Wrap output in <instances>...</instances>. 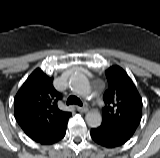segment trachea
<instances>
[{"label": "trachea", "mask_w": 160, "mask_h": 158, "mask_svg": "<svg viewBox=\"0 0 160 158\" xmlns=\"http://www.w3.org/2000/svg\"><path fill=\"white\" fill-rule=\"evenodd\" d=\"M70 104H76V105H79L81 106L82 105V102L79 98H77L76 96H69V98L67 99V105H70Z\"/></svg>", "instance_id": "1"}]
</instances>
